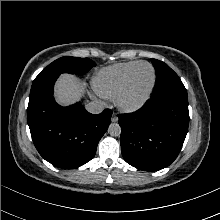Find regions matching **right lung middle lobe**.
Masks as SVG:
<instances>
[{
	"label": "right lung middle lobe",
	"instance_id": "right-lung-middle-lobe-1",
	"mask_svg": "<svg viewBox=\"0 0 220 220\" xmlns=\"http://www.w3.org/2000/svg\"><path fill=\"white\" fill-rule=\"evenodd\" d=\"M95 65L96 64L89 58L82 59L77 57L64 56L55 60L46 68H44L38 74L35 80L60 73H75L78 75H83Z\"/></svg>",
	"mask_w": 220,
	"mask_h": 220
}]
</instances>
